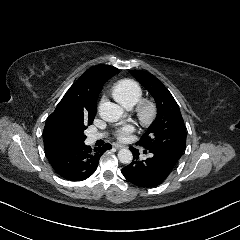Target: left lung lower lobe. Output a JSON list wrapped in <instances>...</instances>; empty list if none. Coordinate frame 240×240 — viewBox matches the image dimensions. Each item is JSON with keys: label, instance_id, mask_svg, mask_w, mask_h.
<instances>
[{"label": "left lung lower lobe", "instance_id": "1", "mask_svg": "<svg viewBox=\"0 0 240 240\" xmlns=\"http://www.w3.org/2000/svg\"><path fill=\"white\" fill-rule=\"evenodd\" d=\"M129 149L134 158L131 164L122 169V173L131 184L142 188H152L162 184L178 162L160 149H146L153 156L140 161L138 150L133 147Z\"/></svg>", "mask_w": 240, "mask_h": 240}]
</instances>
